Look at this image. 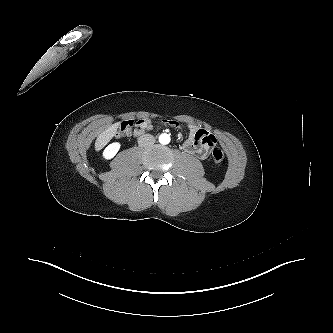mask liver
I'll return each instance as SVG.
<instances>
[{"label":"liver","instance_id":"liver-1","mask_svg":"<svg viewBox=\"0 0 333 333\" xmlns=\"http://www.w3.org/2000/svg\"><path fill=\"white\" fill-rule=\"evenodd\" d=\"M119 123H115L105 129L98 137L95 143L96 149L99 150L102 147H104L116 134V131L118 129Z\"/></svg>","mask_w":333,"mask_h":333}]
</instances>
